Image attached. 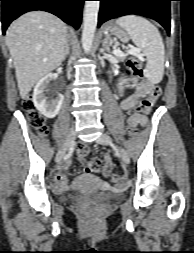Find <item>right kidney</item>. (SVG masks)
Instances as JSON below:
<instances>
[{
  "instance_id": "ca27d5eb",
  "label": "right kidney",
  "mask_w": 194,
  "mask_h": 253,
  "mask_svg": "<svg viewBox=\"0 0 194 253\" xmlns=\"http://www.w3.org/2000/svg\"><path fill=\"white\" fill-rule=\"evenodd\" d=\"M52 78V74L44 76L35 86L33 92V103L36 109L46 118H54L60 111L64 96L58 94L56 98H48L45 95Z\"/></svg>"
}]
</instances>
